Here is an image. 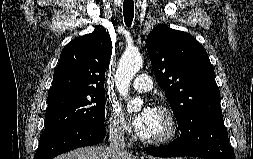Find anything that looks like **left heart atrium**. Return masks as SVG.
I'll return each instance as SVG.
<instances>
[{
  "label": "left heart atrium",
  "instance_id": "left-heart-atrium-1",
  "mask_svg": "<svg viewBox=\"0 0 253 159\" xmlns=\"http://www.w3.org/2000/svg\"><path fill=\"white\" fill-rule=\"evenodd\" d=\"M154 109L150 106H145L135 117L134 125L139 132H142L146 127L148 121L152 117Z\"/></svg>",
  "mask_w": 253,
  "mask_h": 159
}]
</instances>
